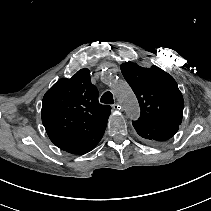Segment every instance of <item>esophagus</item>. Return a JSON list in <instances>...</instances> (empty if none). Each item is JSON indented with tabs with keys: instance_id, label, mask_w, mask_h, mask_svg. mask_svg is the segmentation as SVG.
I'll use <instances>...</instances> for the list:
<instances>
[{
	"instance_id": "obj_1",
	"label": "esophagus",
	"mask_w": 211,
	"mask_h": 211,
	"mask_svg": "<svg viewBox=\"0 0 211 211\" xmlns=\"http://www.w3.org/2000/svg\"><path fill=\"white\" fill-rule=\"evenodd\" d=\"M112 108H113L114 110H121V109H122L121 106H120L119 104H114V105H112Z\"/></svg>"
}]
</instances>
